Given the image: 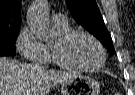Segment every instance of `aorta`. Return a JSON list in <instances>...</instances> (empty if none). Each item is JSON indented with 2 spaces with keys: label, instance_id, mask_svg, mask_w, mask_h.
<instances>
[{
  "label": "aorta",
  "instance_id": "obj_1",
  "mask_svg": "<svg viewBox=\"0 0 135 95\" xmlns=\"http://www.w3.org/2000/svg\"><path fill=\"white\" fill-rule=\"evenodd\" d=\"M27 23L38 39L49 41L53 38V32L49 28L48 6L45 0H35L28 12Z\"/></svg>",
  "mask_w": 135,
  "mask_h": 95
}]
</instances>
